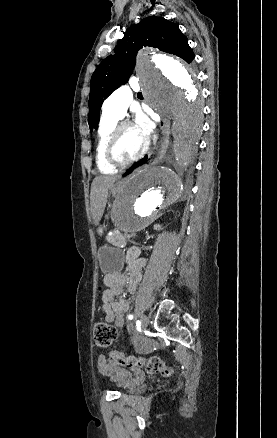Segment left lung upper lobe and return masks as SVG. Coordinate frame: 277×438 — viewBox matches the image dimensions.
<instances>
[{"mask_svg": "<svg viewBox=\"0 0 277 438\" xmlns=\"http://www.w3.org/2000/svg\"><path fill=\"white\" fill-rule=\"evenodd\" d=\"M143 46H152L174 54L187 63L194 59L188 39L176 23L149 16L130 27L124 33V37L118 40L114 54L104 59L92 75L88 115L90 130L97 128L104 99L128 81L133 73L137 51Z\"/></svg>", "mask_w": 277, "mask_h": 438, "instance_id": "5c2ea615", "label": "left lung upper lobe"}]
</instances>
